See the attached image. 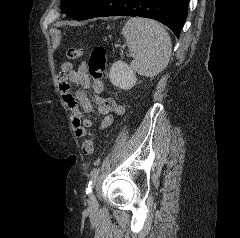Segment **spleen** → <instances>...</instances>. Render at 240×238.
<instances>
[{"mask_svg":"<svg viewBox=\"0 0 240 238\" xmlns=\"http://www.w3.org/2000/svg\"><path fill=\"white\" fill-rule=\"evenodd\" d=\"M127 46L135 54L131 68L140 75L154 77L163 71L172 51L171 38L157 21L130 18L122 29Z\"/></svg>","mask_w":240,"mask_h":238,"instance_id":"3e777b00","label":"spleen"}]
</instances>
